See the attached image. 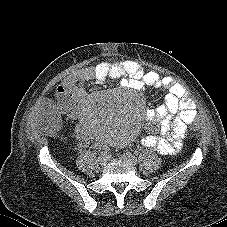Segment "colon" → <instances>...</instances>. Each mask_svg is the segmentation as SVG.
Returning a JSON list of instances; mask_svg holds the SVG:
<instances>
[{
  "mask_svg": "<svg viewBox=\"0 0 227 227\" xmlns=\"http://www.w3.org/2000/svg\"><path fill=\"white\" fill-rule=\"evenodd\" d=\"M183 136L190 143L195 142L198 138L197 133L191 128L186 129L183 133Z\"/></svg>",
  "mask_w": 227,
  "mask_h": 227,
  "instance_id": "1",
  "label": "colon"
}]
</instances>
